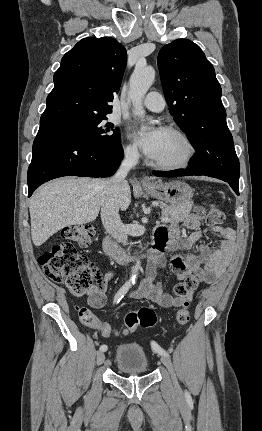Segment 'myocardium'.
<instances>
[{"instance_id":"f54148a6","label":"myocardium","mask_w":262,"mask_h":431,"mask_svg":"<svg viewBox=\"0 0 262 431\" xmlns=\"http://www.w3.org/2000/svg\"><path fill=\"white\" fill-rule=\"evenodd\" d=\"M164 131L173 134L180 139L184 145V152L179 159L173 162L152 161L153 167L160 170H179L186 168L191 163L195 155V146L192 139L184 130L176 126H166Z\"/></svg>"}]
</instances>
